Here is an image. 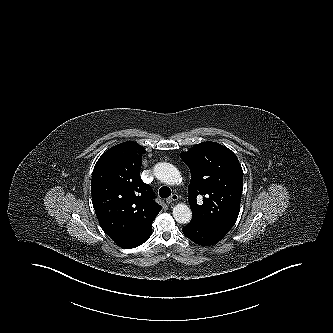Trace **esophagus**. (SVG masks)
<instances>
[{
  "mask_svg": "<svg viewBox=\"0 0 333 333\" xmlns=\"http://www.w3.org/2000/svg\"><path fill=\"white\" fill-rule=\"evenodd\" d=\"M176 200H178V195L177 194H172L169 198L166 199V203L167 204H172Z\"/></svg>",
  "mask_w": 333,
  "mask_h": 333,
  "instance_id": "1",
  "label": "esophagus"
}]
</instances>
